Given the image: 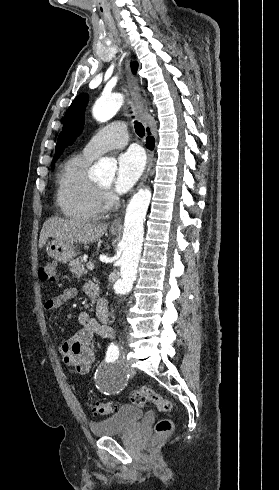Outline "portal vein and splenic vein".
Wrapping results in <instances>:
<instances>
[{"mask_svg": "<svg viewBox=\"0 0 279 490\" xmlns=\"http://www.w3.org/2000/svg\"><path fill=\"white\" fill-rule=\"evenodd\" d=\"M86 266H87L88 270H93V268H94V264H92V262H87Z\"/></svg>", "mask_w": 279, "mask_h": 490, "instance_id": "1", "label": "portal vein and splenic vein"}]
</instances>
